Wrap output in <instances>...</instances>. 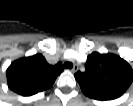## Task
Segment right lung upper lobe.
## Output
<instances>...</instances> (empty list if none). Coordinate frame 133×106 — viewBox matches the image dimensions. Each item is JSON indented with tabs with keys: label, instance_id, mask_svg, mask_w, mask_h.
Here are the masks:
<instances>
[{
	"label": "right lung upper lobe",
	"instance_id": "1",
	"mask_svg": "<svg viewBox=\"0 0 133 106\" xmlns=\"http://www.w3.org/2000/svg\"><path fill=\"white\" fill-rule=\"evenodd\" d=\"M62 71L60 62L50 65L42 54L24 57L8 67V87L22 96H31L49 89Z\"/></svg>",
	"mask_w": 133,
	"mask_h": 106
}]
</instances>
